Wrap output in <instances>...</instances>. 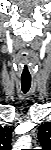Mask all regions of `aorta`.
<instances>
[{
	"instance_id": "762f6f07",
	"label": "aorta",
	"mask_w": 51,
	"mask_h": 150,
	"mask_svg": "<svg viewBox=\"0 0 51 150\" xmlns=\"http://www.w3.org/2000/svg\"><path fill=\"white\" fill-rule=\"evenodd\" d=\"M31 146V137L29 135L21 136L15 145L13 146L14 150L28 149Z\"/></svg>"
}]
</instances>
